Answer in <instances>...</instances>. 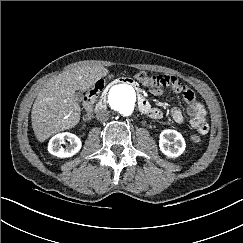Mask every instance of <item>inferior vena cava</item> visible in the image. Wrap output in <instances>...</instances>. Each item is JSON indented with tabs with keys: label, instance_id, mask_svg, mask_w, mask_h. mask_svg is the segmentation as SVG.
<instances>
[{
	"label": "inferior vena cava",
	"instance_id": "obj_1",
	"mask_svg": "<svg viewBox=\"0 0 243 243\" xmlns=\"http://www.w3.org/2000/svg\"><path fill=\"white\" fill-rule=\"evenodd\" d=\"M96 118L98 121H106L109 119V111L102 109L96 113Z\"/></svg>",
	"mask_w": 243,
	"mask_h": 243
}]
</instances>
